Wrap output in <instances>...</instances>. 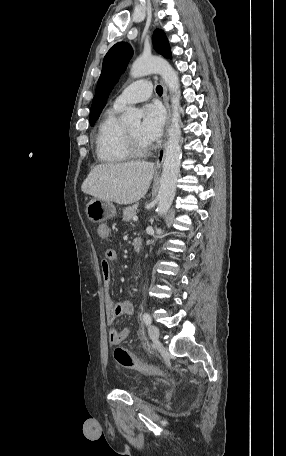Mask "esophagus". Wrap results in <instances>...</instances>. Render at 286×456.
I'll return each instance as SVG.
<instances>
[{"label":"esophagus","instance_id":"1","mask_svg":"<svg viewBox=\"0 0 286 456\" xmlns=\"http://www.w3.org/2000/svg\"><path fill=\"white\" fill-rule=\"evenodd\" d=\"M163 101H164V104H165V107H166V110H167V123H166V138L168 137V132H169V126H170V106H169V102H168V94H167V87L166 85L163 83ZM165 149H166V140L165 142L163 143V145L161 146L160 150H159V153H158V157H157V160H156V167L159 168L161 167L163 161H164V157H165Z\"/></svg>","mask_w":286,"mask_h":456}]
</instances>
